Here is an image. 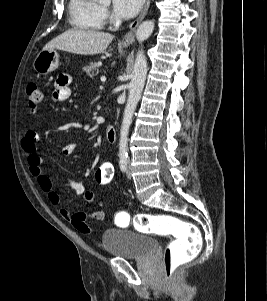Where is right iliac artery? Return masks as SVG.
<instances>
[{
  "instance_id": "82829eb1",
  "label": "right iliac artery",
  "mask_w": 267,
  "mask_h": 301,
  "mask_svg": "<svg viewBox=\"0 0 267 301\" xmlns=\"http://www.w3.org/2000/svg\"><path fill=\"white\" fill-rule=\"evenodd\" d=\"M120 169H121L122 172L127 171V162L126 161L120 162Z\"/></svg>"
}]
</instances>
